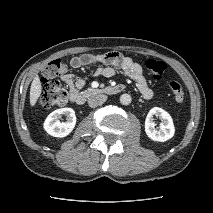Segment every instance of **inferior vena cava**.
I'll use <instances>...</instances> for the list:
<instances>
[{"instance_id":"inferior-vena-cava-1","label":"inferior vena cava","mask_w":213,"mask_h":213,"mask_svg":"<svg viewBox=\"0 0 213 213\" xmlns=\"http://www.w3.org/2000/svg\"><path fill=\"white\" fill-rule=\"evenodd\" d=\"M106 100H107V95H104V94L93 95L88 99V105L91 108H95L97 106L102 105Z\"/></svg>"}]
</instances>
